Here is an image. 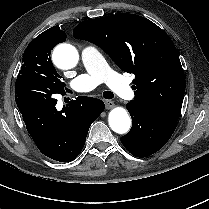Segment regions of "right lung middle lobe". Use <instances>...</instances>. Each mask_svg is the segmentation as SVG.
Returning a JSON list of instances; mask_svg holds the SVG:
<instances>
[{"label":"right lung middle lobe","mask_w":209,"mask_h":209,"mask_svg":"<svg viewBox=\"0 0 209 209\" xmlns=\"http://www.w3.org/2000/svg\"><path fill=\"white\" fill-rule=\"evenodd\" d=\"M56 42L49 34L39 35L24 51L22 67L17 80H27L49 88L54 93H64L65 83L56 72L50 57Z\"/></svg>","instance_id":"1"}]
</instances>
